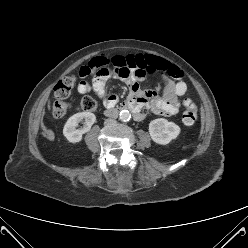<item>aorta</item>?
Listing matches in <instances>:
<instances>
[{"label":"aorta","instance_id":"762f6f07","mask_svg":"<svg viewBox=\"0 0 248 248\" xmlns=\"http://www.w3.org/2000/svg\"><path fill=\"white\" fill-rule=\"evenodd\" d=\"M119 118L121 121L126 122L130 120L131 114L128 110H122L119 114Z\"/></svg>","mask_w":248,"mask_h":248}]
</instances>
